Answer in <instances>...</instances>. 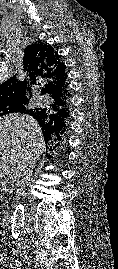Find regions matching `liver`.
<instances>
[{"label": "liver", "mask_w": 118, "mask_h": 269, "mask_svg": "<svg viewBox=\"0 0 118 269\" xmlns=\"http://www.w3.org/2000/svg\"><path fill=\"white\" fill-rule=\"evenodd\" d=\"M45 151L38 122L26 114L0 117V177L14 173L23 161L36 162Z\"/></svg>", "instance_id": "1"}]
</instances>
